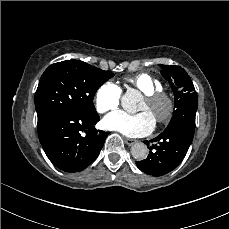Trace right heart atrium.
Instances as JSON below:
<instances>
[{
    "mask_svg": "<svg viewBox=\"0 0 229 229\" xmlns=\"http://www.w3.org/2000/svg\"><path fill=\"white\" fill-rule=\"evenodd\" d=\"M121 97V88L117 84L107 81L101 84L95 91L93 104L99 113H106L119 106Z\"/></svg>",
    "mask_w": 229,
    "mask_h": 229,
    "instance_id": "1",
    "label": "right heart atrium"
}]
</instances>
